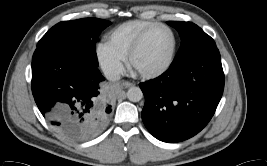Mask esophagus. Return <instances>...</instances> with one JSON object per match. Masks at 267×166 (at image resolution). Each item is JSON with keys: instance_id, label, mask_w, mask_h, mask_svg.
<instances>
[{"instance_id": "34e87169", "label": "esophagus", "mask_w": 267, "mask_h": 166, "mask_svg": "<svg viewBox=\"0 0 267 166\" xmlns=\"http://www.w3.org/2000/svg\"><path fill=\"white\" fill-rule=\"evenodd\" d=\"M123 85H124L125 87H131V86H134V84L131 83V82H129V81H125V82H123Z\"/></svg>"}]
</instances>
